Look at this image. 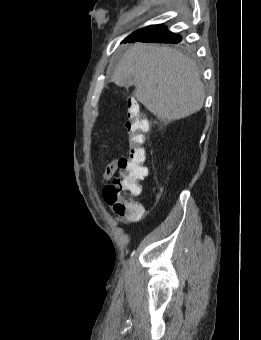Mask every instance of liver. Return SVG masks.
Here are the masks:
<instances>
[{"label": "liver", "mask_w": 261, "mask_h": 340, "mask_svg": "<svg viewBox=\"0 0 261 340\" xmlns=\"http://www.w3.org/2000/svg\"><path fill=\"white\" fill-rule=\"evenodd\" d=\"M112 82L135 86V97L160 120L174 121L201 110L204 85L194 61L167 47L135 43L123 55Z\"/></svg>", "instance_id": "6515ba94"}]
</instances>
